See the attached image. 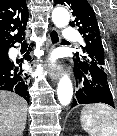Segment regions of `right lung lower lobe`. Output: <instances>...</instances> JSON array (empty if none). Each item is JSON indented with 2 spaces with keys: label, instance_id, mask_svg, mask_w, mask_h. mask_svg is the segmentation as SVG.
<instances>
[{
  "label": "right lung lower lobe",
  "instance_id": "right-lung-lower-lobe-1",
  "mask_svg": "<svg viewBox=\"0 0 117 136\" xmlns=\"http://www.w3.org/2000/svg\"><path fill=\"white\" fill-rule=\"evenodd\" d=\"M24 59L30 61L31 58L26 56ZM22 62L23 59L10 60L8 52L0 57V90L15 92L29 101V77L22 70Z\"/></svg>",
  "mask_w": 117,
  "mask_h": 136
}]
</instances>
